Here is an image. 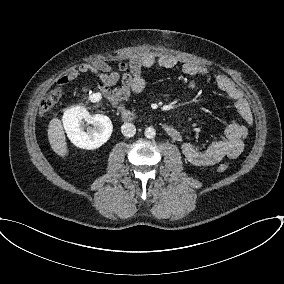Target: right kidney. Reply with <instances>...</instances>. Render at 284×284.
<instances>
[{
  "mask_svg": "<svg viewBox=\"0 0 284 284\" xmlns=\"http://www.w3.org/2000/svg\"><path fill=\"white\" fill-rule=\"evenodd\" d=\"M101 99V94H96ZM92 124L93 127L84 124ZM63 125L70 141L77 147L93 150L103 145L111 136L113 125L109 117L102 114L90 115L84 106L67 109L63 115Z\"/></svg>",
  "mask_w": 284,
  "mask_h": 284,
  "instance_id": "right-kidney-1",
  "label": "right kidney"
}]
</instances>
